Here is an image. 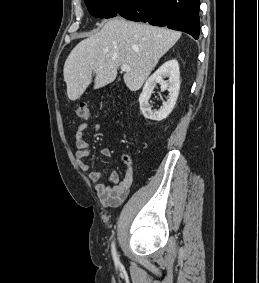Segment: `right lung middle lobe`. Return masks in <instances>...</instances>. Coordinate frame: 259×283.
I'll return each mask as SVG.
<instances>
[{"instance_id":"dd1d6c3e","label":"right lung middle lobe","mask_w":259,"mask_h":283,"mask_svg":"<svg viewBox=\"0 0 259 283\" xmlns=\"http://www.w3.org/2000/svg\"><path fill=\"white\" fill-rule=\"evenodd\" d=\"M114 0H85L88 11L92 16L98 18H110L114 17L115 12L113 7Z\"/></svg>"}]
</instances>
